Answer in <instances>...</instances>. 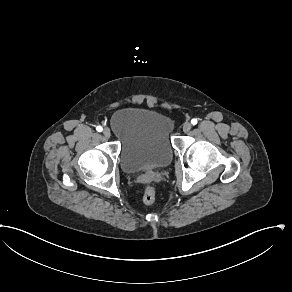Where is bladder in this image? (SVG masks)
I'll list each match as a JSON object with an SVG mask.
<instances>
[{
    "mask_svg": "<svg viewBox=\"0 0 292 292\" xmlns=\"http://www.w3.org/2000/svg\"><path fill=\"white\" fill-rule=\"evenodd\" d=\"M110 125L120 143V164L127 173L161 167L173 157L172 119L164 112L143 106L119 109Z\"/></svg>",
    "mask_w": 292,
    "mask_h": 292,
    "instance_id": "31cf9c89",
    "label": "bladder"
}]
</instances>
